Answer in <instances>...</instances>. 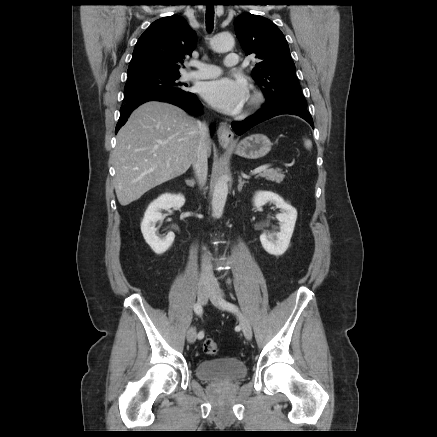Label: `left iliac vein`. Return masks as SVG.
I'll list each match as a JSON object with an SVG mask.
<instances>
[{
	"label": "left iliac vein",
	"mask_w": 437,
	"mask_h": 437,
	"mask_svg": "<svg viewBox=\"0 0 437 437\" xmlns=\"http://www.w3.org/2000/svg\"><path fill=\"white\" fill-rule=\"evenodd\" d=\"M222 297H223V293L221 292L220 289H218V288H213V289L211 290V293H210V296H209L210 301H211L215 306H217V307H219V308H222V309H225V308L222 306V304H221ZM235 313H236V315H237L238 318H239L240 326H241V328H242V331H243V334H244L245 338H246L247 340H251V338H252V328H251V325H250L249 320H248L247 317H246L244 314H242L241 312H238V311H237V312H235Z\"/></svg>",
	"instance_id": "left-iliac-vein-1"
}]
</instances>
